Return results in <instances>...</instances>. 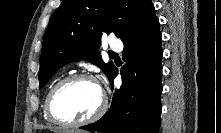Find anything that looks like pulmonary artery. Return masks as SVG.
Returning <instances> with one entry per match:
<instances>
[{"mask_svg": "<svg viewBox=\"0 0 221 133\" xmlns=\"http://www.w3.org/2000/svg\"><path fill=\"white\" fill-rule=\"evenodd\" d=\"M123 48V44L121 41L113 40L110 42V49L113 51H121Z\"/></svg>", "mask_w": 221, "mask_h": 133, "instance_id": "e3ab8cb5", "label": "pulmonary artery"}]
</instances>
